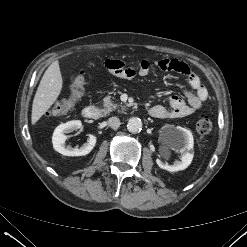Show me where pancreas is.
I'll list each match as a JSON object with an SVG mask.
<instances>
[{
    "instance_id": "pancreas-1",
    "label": "pancreas",
    "mask_w": 247,
    "mask_h": 247,
    "mask_svg": "<svg viewBox=\"0 0 247 247\" xmlns=\"http://www.w3.org/2000/svg\"><path fill=\"white\" fill-rule=\"evenodd\" d=\"M103 101H104V104H103V106H104L103 112L105 114H108V113H110V112H112L114 110H117L118 107L121 108L120 109L121 111L126 110V107L124 105H122V104L119 105L117 103H113L110 96H106Z\"/></svg>"
}]
</instances>
